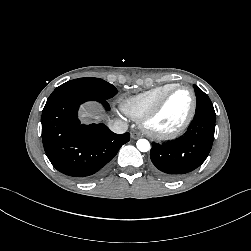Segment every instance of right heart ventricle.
Masks as SVG:
<instances>
[{
    "mask_svg": "<svg viewBox=\"0 0 251 251\" xmlns=\"http://www.w3.org/2000/svg\"><path fill=\"white\" fill-rule=\"evenodd\" d=\"M176 84H165L142 93L124 98L120 102L121 111L132 119L140 120L158 99Z\"/></svg>",
    "mask_w": 251,
    "mask_h": 251,
    "instance_id": "obj_1",
    "label": "right heart ventricle"
}]
</instances>
